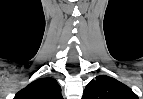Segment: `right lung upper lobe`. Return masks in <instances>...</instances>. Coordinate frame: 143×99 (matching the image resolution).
<instances>
[{"label":"right lung upper lobe","instance_id":"1","mask_svg":"<svg viewBox=\"0 0 143 99\" xmlns=\"http://www.w3.org/2000/svg\"><path fill=\"white\" fill-rule=\"evenodd\" d=\"M14 99H63L61 87L51 78H40L20 90Z\"/></svg>","mask_w":143,"mask_h":99}]
</instances>
